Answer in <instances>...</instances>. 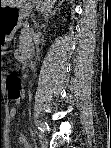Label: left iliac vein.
Segmentation results:
<instances>
[{
	"mask_svg": "<svg viewBox=\"0 0 111 148\" xmlns=\"http://www.w3.org/2000/svg\"><path fill=\"white\" fill-rule=\"evenodd\" d=\"M42 128L45 130L46 129V125L45 124H41ZM39 137L41 140H43V136L42 134H39Z\"/></svg>",
	"mask_w": 111,
	"mask_h": 148,
	"instance_id": "1",
	"label": "left iliac vein"
}]
</instances>
